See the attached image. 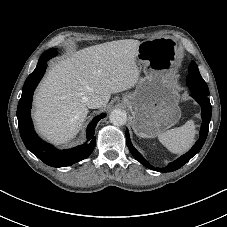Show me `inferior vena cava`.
Instances as JSON below:
<instances>
[{
	"instance_id": "inferior-vena-cava-1",
	"label": "inferior vena cava",
	"mask_w": 227,
	"mask_h": 227,
	"mask_svg": "<svg viewBox=\"0 0 227 227\" xmlns=\"http://www.w3.org/2000/svg\"><path fill=\"white\" fill-rule=\"evenodd\" d=\"M103 104H104L103 99L98 95H92L86 101V105L89 108H93V109L100 108L103 106Z\"/></svg>"
}]
</instances>
